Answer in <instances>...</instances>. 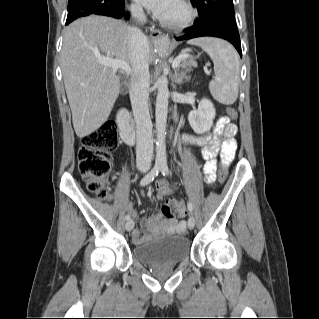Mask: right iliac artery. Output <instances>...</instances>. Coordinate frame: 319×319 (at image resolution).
<instances>
[{
  "mask_svg": "<svg viewBox=\"0 0 319 319\" xmlns=\"http://www.w3.org/2000/svg\"><path fill=\"white\" fill-rule=\"evenodd\" d=\"M160 171H161L160 165L156 164V165L151 169V171L141 179L140 185H141V186H146V185H148L149 183H151V182L154 180V178L159 174ZM125 219H126V220H129V219H130V216H129V215H126V216H125Z\"/></svg>",
  "mask_w": 319,
  "mask_h": 319,
  "instance_id": "1",
  "label": "right iliac artery"
}]
</instances>
